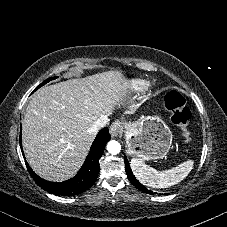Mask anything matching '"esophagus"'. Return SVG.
<instances>
[{"label": "esophagus", "instance_id": "34e87169", "mask_svg": "<svg viewBox=\"0 0 227 227\" xmlns=\"http://www.w3.org/2000/svg\"><path fill=\"white\" fill-rule=\"evenodd\" d=\"M109 131L112 137H117L121 133V122L114 121L111 124Z\"/></svg>", "mask_w": 227, "mask_h": 227}]
</instances>
